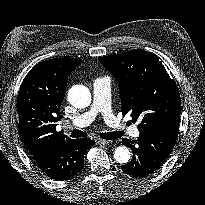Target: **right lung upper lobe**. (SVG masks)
I'll list each match as a JSON object with an SVG mask.
<instances>
[{"mask_svg":"<svg viewBox=\"0 0 205 205\" xmlns=\"http://www.w3.org/2000/svg\"><path fill=\"white\" fill-rule=\"evenodd\" d=\"M84 61L58 58L36 64L27 74L17 101L19 134L30 155L59 146L70 138L56 131L69 74Z\"/></svg>","mask_w":205,"mask_h":205,"instance_id":"obj_1","label":"right lung upper lobe"}]
</instances>
